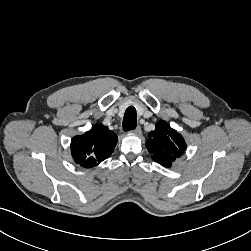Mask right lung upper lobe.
I'll list each match as a JSON object with an SVG mask.
<instances>
[{
	"mask_svg": "<svg viewBox=\"0 0 251 251\" xmlns=\"http://www.w3.org/2000/svg\"><path fill=\"white\" fill-rule=\"evenodd\" d=\"M117 142L118 138L114 132L102 124H97L90 131L72 139V156L77 164L91 168L107 159Z\"/></svg>",
	"mask_w": 251,
	"mask_h": 251,
	"instance_id": "1",
	"label": "right lung upper lobe"
}]
</instances>
